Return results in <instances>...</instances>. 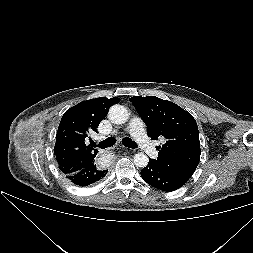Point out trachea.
I'll return each mask as SVG.
<instances>
[{
  "mask_svg": "<svg viewBox=\"0 0 253 253\" xmlns=\"http://www.w3.org/2000/svg\"><path fill=\"white\" fill-rule=\"evenodd\" d=\"M115 142H116V140L114 137H108L107 139L101 141L99 144L93 143V146L99 147L101 149H105L107 147L113 146L115 144ZM122 143L125 147H129V148H133V149L137 147V144L134 141H132V139L129 137L123 138Z\"/></svg>",
  "mask_w": 253,
  "mask_h": 253,
  "instance_id": "obj_1",
  "label": "trachea"
}]
</instances>
